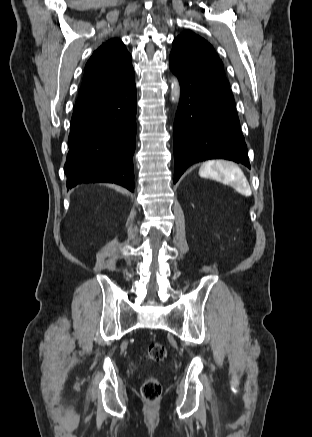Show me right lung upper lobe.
<instances>
[{"mask_svg":"<svg viewBox=\"0 0 312 437\" xmlns=\"http://www.w3.org/2000/svg\"><path fill=\"white\" fill-rule=\"evenodd\" d=\"M133 74L131 55L122 41L118 38L108 40L88 60L75 105L90 102L113 91Z\"/></svg>","mask_w":312,"mask_h":437,"instance_id":"1","label":"right lung upper lobe"}]
</instances>
